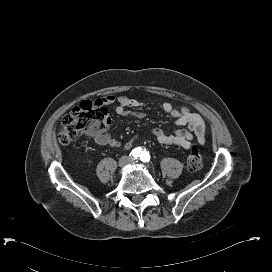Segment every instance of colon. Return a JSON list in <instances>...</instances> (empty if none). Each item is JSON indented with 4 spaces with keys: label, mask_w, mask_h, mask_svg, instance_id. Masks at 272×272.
Returning <instances> with one entry per match:
<instances>
[{
    "label": "colon",
    "mask_w": 272,
    "mask_h": 272,
    "mask_svg": "<svg viewBox=\"0 0 272 272\" xmlns=\"http://www.w3.org/2000/svg\"><path fill=\"white\" fill-rule=\"evenodd\" d=\"M111 123L106 100L85 101L66 114L59 126L58 142L68 144L85 134H98ZM187 169L198 172L202 167V156L196 146H192L187 155Z\"/></svg>",
    "instance_id": "5ec220e1"
}]
</instances>
